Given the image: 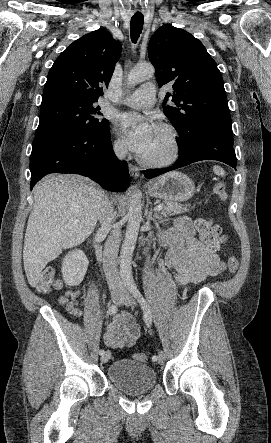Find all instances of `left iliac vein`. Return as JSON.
Segmentation results:
<instances>
[{
  "label": "left iliac vein",
  "mask_w": 271,
  "mask_h": 443,
  "mask_svg": "<svg viewBox=\"0 0 271 443\" xmlns=\"http://www.w3.org/2000/svg\"><path fill=\"white\" fill-rule=\"evenodd\" d=\"M121 303L126 305V306H130V307H133L136 304L134 298L130 294H128V293H125L123 295V299H122ZM164 362H165V354H164L163 351H159V353H158V363L159 364H163Z\"/></svg>",
  "instance_id": "1"
}]
</instances>
